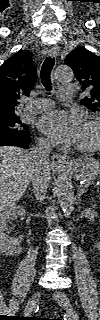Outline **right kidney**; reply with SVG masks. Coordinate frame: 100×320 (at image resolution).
<instances>
[{
	"label": "right kidney",
	"instance_id": "obj_1",
	"mask_svg": "<svg viewBox=\"0 0 100 320\" xmlns=\"http://www.w3.org/2000/svg\"><path fill=\"white\" fill-rule=\"evenodd\" d=\"M25 213V209L20 206L12 205L0 213V248L7 255L19 253L21 238L8 236V224L10 220L17 219L18 215Z\"/></svg>",
	"mask_w": 100,
	"mask_h": 320
}]
</instances>
